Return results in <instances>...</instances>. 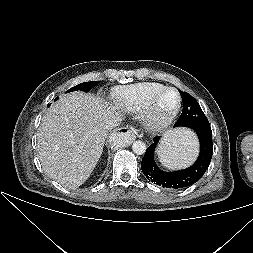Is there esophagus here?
<instances>
[{
	"instance_id": "obj_1",
	"label": "esophagus",
	"mask_w": 253,
	"mask_h": 253,
	"mask_svg": "<svg viewBox=\"0 0 253 253\" xmlns=\"http://www.w3.org/2000/svg\"><path fill=\"white\" fill-rule=\"evenodd\" d=\"M136 131L137 130H135L132 127H130V128L123 127V128L118 129L117 133H128L130 137H132L133 139H135L136 138V136H135Z\"/></svg>"
}]
</instances>
